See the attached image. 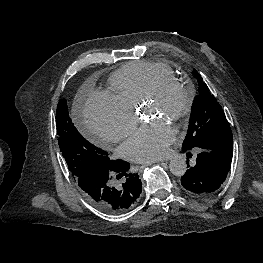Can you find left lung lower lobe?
Wrapping results in <instances>:
<instances>
[{
	"label": "left lung lower lobe",
	"mask_w": 263,
	"mask_h": 263,
	"mask_svg": "<svg viewBox=\"0 0 263 263\" xmlns=\"http://www.w3.org/2000/svg\"><path fill=\"white\" fill-rule=\"evenodd\" d=\"M196 147L202 151L197 155L196 165H188L181 184L193 194L207 195L222 185L230 171L233 156L231 129L214 131Z\"/></svg>",
	"instance_id": "left-lung-lower-lobe-1"
}]
</instances>
